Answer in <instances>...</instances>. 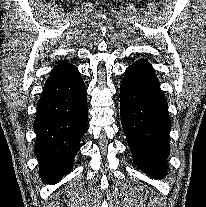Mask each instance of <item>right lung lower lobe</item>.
Here are the masks:
<instances>
[{"label": "right lung lower lobe", "instance_id": "1", "mask_svg": "<svg viewBox=\"0 0 206 207\" xmlns=\"http://www.w3.org/2000/svg\"><path fill=\"white\" fill-rule=\"evenodd\" d=\"M87 125L86 87L70 63L55 66L37 103L35 154L43 182L56 183L68 174Z\"/></svg>", "mask_w": 206, "mask_h": 207}]
</instances>
